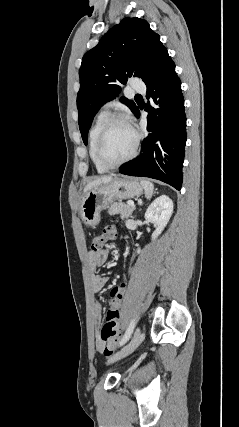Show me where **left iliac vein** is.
Listing matches in <instances>:
<instances>
[{
    "instance_id": "obj_1",
    "label": "left iliac vein",
    "mask_w": 239,
    "mask_h": 427,
    "mask_svg": "<svg viewBox=\"0 0 239 427\" xmlns=\"http://www.w3.org/2000/svg\"><path fill=\"white\" fill-rule=\"evenodd\" d=\"M144 338L145 334L141 332L139 328H137L130 342L125 345L119 352H117L113 357H111L108 360V363H114L115 361H118L131 354L143 342Z\"/></svg>"
}]
</instances>
